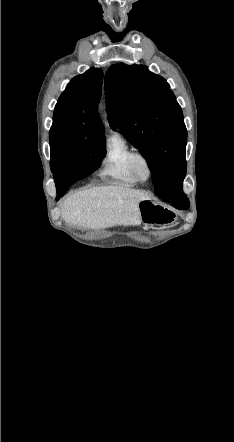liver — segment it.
Listing matches in <instances>:
<instances>
[{"label": "liver", "mask_w": 234, "mask_h": 442, "mask_svg": "<svg viewBox=\"0 0 234 442\" xmlns=\"http://www.w3.org/2000/svg\"><path fill=\"white\" fill-rule=\"evenodd\" d=\"M143 192L124 186H100L69 196L62 205V218L85 229L141 224L138 204L148 200Z\"/></svg>", "instance_id": "liver-1"}]
</instances>
